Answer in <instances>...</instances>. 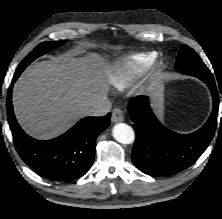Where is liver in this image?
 Masks as SVG:
<instances>
[{
    "label": "liver",
    "mask_w": 222,
    "mask_h": 219,
    "mask_svg": "<svg viewBox=\"0 0 222 219\" xmlns=\"http://www.w3.org/2000/svg\"><path fill=\"white\" fill-rule=\"evenodd\" d=\"M103 58H52L35 63L13 89V108L21 127L39 139L54 138L69 129L88 110L107 99Z\"/></svg>",
    "instance_id": "6515ba94"
}]
</instances>
